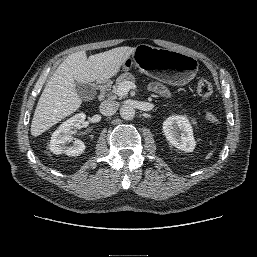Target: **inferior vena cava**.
I'll return each mask as SVG.
<instances>
[{"label": "inferior vena cava", "mask_w": 257, "mask_h": 257, "mask_svg": "<svg viewBox=\"0 0 257 257\" xmlns=\"http://www.w3.org/2000/svg\"><path fill=\"white\" fill-rule=\"evenodd\" d=\"M101 114L105 116L113 115L118 109V103L112 100H105L99 106Z\"/></svg>", "instance_id": "inferior-vena-cava-1"}]
</instances>
